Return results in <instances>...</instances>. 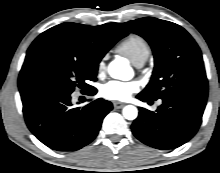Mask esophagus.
Segmentation results:
<instances>
[{
    "label": "esophagus",
    "mask_w": 220,
    "mask_h": 173,
    "mask_svg": "<svg viewBox=\"0 0 220 173\" xmlns=\"http://www.w3.org/2000/svg\"><path fill=\"white\" fill-rule=\"evenodd\" d=\"M124 105H125V104L122 103V102H118V101L113 102V106H114L115 109H120V108H122Z\"/></svg>",
    "instance_id": "34e87169"
}]
</instances>
